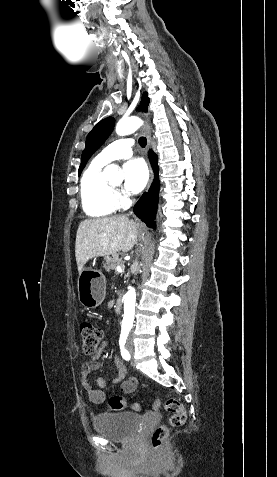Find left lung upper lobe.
<instances>
[{
	"label": "left lung upper lobe",
	"instance_id": "obj_1",
	"mask_svg": "<svg viewBox=\"0 0 277 477\" xmlns=\"http://www.w3.org/2000/svg\"><path fill=\"white\" fill-rule=\"evenodd\" d=\"M149 104V98L147 93H144L142 96L141 101V109L147 111V107ZM114 118L108 117L101 120L99 123L95 125L92 131L88 134L86 138V147L82 152L81 157V164L78 170V174L80 175L82 170L84 169L87 161L92 156V154L105 142V140L110 135L113 127H114Z\"/></svg>",
	"mask_w": 277,
	"mask_h": 477
}]
</instances>
